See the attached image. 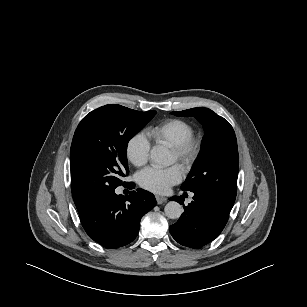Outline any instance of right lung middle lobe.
<instances>
[{
  "label": "right lung middle lobe",
  "instance_id": "dd1d6c3e",
  "mask_svg": "<svg viewBox=\"0 0 307 307\" xmlns=\"http://www.w3.org/2000/svg\"><path fill=\"white\" fill-rule=\"evenodd\" d=\"M156 114L110 104L85 116L71 145V189L78 211L124 185L129 140Z\"/></svg>",
  "mask_w": 307,
  "mask_h": 307
}]
</instances>
